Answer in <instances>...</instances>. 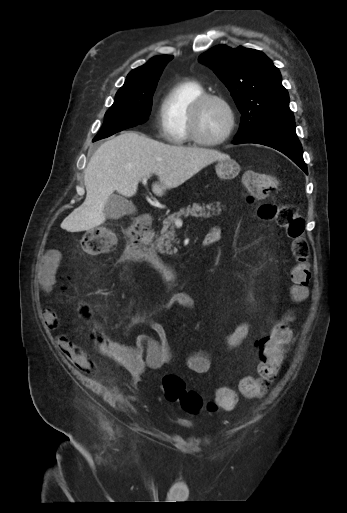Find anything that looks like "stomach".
<instances>
[{"instance_id": "obj_1", "label": "stomach", "mask_w": 347, "mask_h": 513, "mask_svg": "<svg viewBox=\"0 0 347 513\" xmlns=\"http://www.w3.org/2000/svg\"><path fill=\"white\" fill-rule=\"evenodd\" d=\"M240 165L233 159L218 160L215 165V171L219 178L223 180H231L240 172Z\"/></svg>"}]
</instances>
